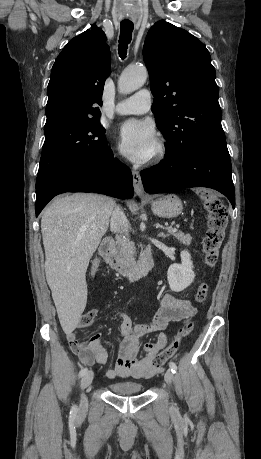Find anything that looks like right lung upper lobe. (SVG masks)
<instances>
[{
    "label": "right lung upper lobe",
    "instance_id": "cb5924a9",
    "mask_svg": "<svg viewBox=\"0 0 261 459\" xmlns=\"http://www.w3.org/2000/svg\"><path fill=\"white\" fill-rule=\"evenodd\" d=\"M97 27L73 38L57 57L48 84L45 129L99 120L111 57Z\"/></svg>",
    "mask_w": 261,
    "mask_h": 459
}]
</instances>
